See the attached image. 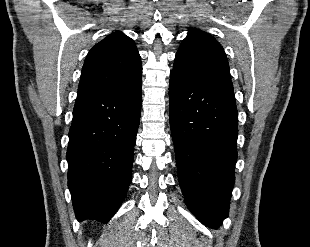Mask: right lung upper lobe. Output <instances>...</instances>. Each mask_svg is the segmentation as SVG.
Returning <instances> with one entry per match:
<instances>
[{
    "mask_svg": "<svg viewBox=\"0 0 310 247\" xmlns=\"http://www.w3.org/2000/svg\"><path fill=\"white\" fill-rule=\"evenodd\" d=\"M142 82V65L134 41L121 31L108 35L88 53L78 96L130 89Z\"/></svg>",
    "mask_w": 310,
    "mask_h": 247,
    "instance_id": "1",
    "label": "right lung upper lobe"
}]
</instances>
